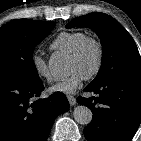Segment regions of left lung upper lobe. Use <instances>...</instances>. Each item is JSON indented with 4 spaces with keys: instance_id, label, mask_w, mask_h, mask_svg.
<instances>
[{
    "instance_id": "5c2ea615",
    "label": "left lung upper lobe",
    "mask_w": 141,
    "mask_h": 141,
    "mask_svg": "<svg viewBox=\"0 0 141 141\" xmlns=\"http://www.w3.org/2000/svg\"><path fill=\"white\" fill-rule=\"evenodd\" d=\"M66 27L91 28L101 40L102 64L90 84L95 85L118 77H141V57L136 43L114 18L94 12L72 20Z\"/></svg>"
}]
</instances>
